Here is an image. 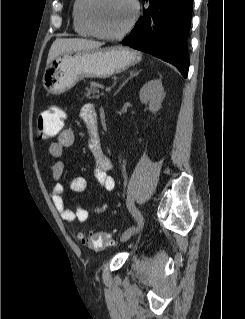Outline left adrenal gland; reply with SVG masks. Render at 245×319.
Returning <instances> with one entry per match:
<instances>
[{
  "mask_svg": "<svg viewBox=\"0 0 245 319\" xmlns=\"http://www.w3.org/2000/svg\"><path fill=\"white\" fill-rule=\"evenodd\" d=\"M140 71H141V70H139V71H130V72H129V77L119 86V88H118V90L115 92V94H117V93L120 91V89L129 81V79H131V78H133L134 76L138 75Z\"/></svg>",
  "mask_w": 245,
  "mask_h": 319,
  "instance_id": "a2214340",
  "label": "left adrenal gland"
}]
</instances>
